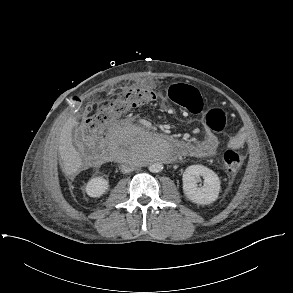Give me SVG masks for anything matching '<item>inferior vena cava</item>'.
Listing matches in <instances>:
<instances>
[{
    "mask_svg": "<svg viewBox=\"0 0 293 293\" xmlns=\"http://www.w3.org/2000/svg\"><path fill=\"white\" fill-rule=\"evenodd\" d=\"M134 170L133 165H123L121 168L122 173H129Z\"/></svg>",
    "mask_w": 293,
    "mask_h": 293,
    "instance_id": "602c4592",
    "label": "inferior vena cava"
}]
</instances>
